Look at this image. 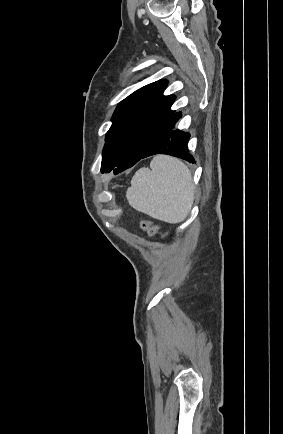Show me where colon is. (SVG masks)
<instances>
[{
	"instance_id": "colon-1",
	"label": "colon",
	"mask_w": 283,
	"mask_h": 434,
	"mask_svg": "<svg viewBox=\"0 0 283 434\" xmlns=\"http://www.w3.org/2000/svg\"><path fill=\"white\" fill-rule=\"evenodd\" d=\"M142 227L149 235H155L159 232V227L150 221H143Z\"/></svg>"
}]
</instances>
